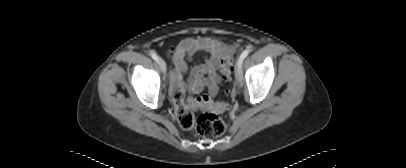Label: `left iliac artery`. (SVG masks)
Returning <instances> with one entry per match:
<instances>
[{"label": "left iliac artery", "mask_w": 406, "mask_h": 168, "mask_svg": "<svg viewBox=\"0 0 406 168\" xmlns=\"http://www.w3.org/2000/svg\"><path fill=\"white\" fill-rule=\"evenodd\" d=\"M250 50L246 49L242 52V54L240 55L239 61L242 63L243 60L248 56Z\"/></svg>", "instance_id": "obj_1"}]
</instances>
